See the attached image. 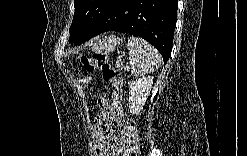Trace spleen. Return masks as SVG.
Instances as JSON below:
<instances>
[{
    "label": "spleen",
    "mask_w": 247,
    "mask_h": 156,
    "mask_svg": "<svg viewBox=\"0 0 247 156\" xmlns=\"http://www.w3.org/2000/svg\"><path fill=\"white\" fill-rule=\"evenodd\" d=\"M128 46L133 75H144L158 69L161 57L151 44L141 38L131 37Z\"/></svg>",
    "instance_id": "3e777b00"
}]
</instances>
